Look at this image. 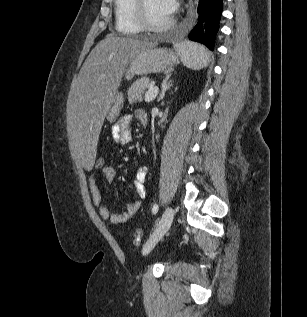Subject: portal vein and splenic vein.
Here are the masks:
<instances>
[{
  "instance_id": "obj_1",
  "label": "portal vein and splenic vein",
  "mask_w": 307,
  "mask_h": 317,
  "mask_svg": "<svg viewBox=\"0 0 307 317\" xmlns=\"http://www.w3.org/2000/svg\"><path fill=\"white\" fill-rule=\"evenodd\" d=\"M157 94H158V87L155 86L154 84H151L148 88V91L145 93L144 99L146 102H150L153 99H155Z\"/></svg>"
}]
</instances>
